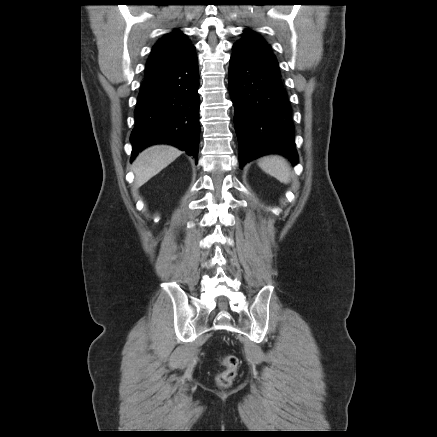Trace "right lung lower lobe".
Instances as JSON below:
<instances>
[{
    "label": "right lung lower lobe",
    "mask_w": 437,
    "mask_h": 437,
    "mask_svg": "<svg viewBox=\"0 0 437 437\" xmlns=\"http://www.w3.org/2000/svg\"><path fill=\"white\" fill-rule=\"evenodd\" d=\"M199 71L197 57L145 77L135 108L132 157L145 147L166 143L197 161L199 146Z\"/></svg>",
    "instance_id": "98d812e1"
}]
</instances>
